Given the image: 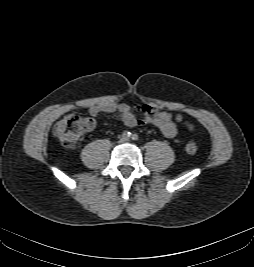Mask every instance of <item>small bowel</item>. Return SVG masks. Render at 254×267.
Returning <instances> with one entry per match:
<instances>
[{"mask_svg": "<svg viewBox=\"0 0 254 267\" xmlns=\"http://www.w3.org/2000/svg\"><path fill=\"white\" fill-rule=\"evenodd\" d=\"M136 111L141 113V119H138L133 109L125 103H100L92 105L88 109V112L92 117H96L101 113H117L128 127H134L138 124H151L157 127L168 138L176 136L177 123L182 121V116L180 114L173 115L169 112L159 111L149 105L138 106ZM187 127L190 130L193 129L192 124H187Z\"/></svg>", "mask_w": 254, "mask_h": 267, "instance_id": "c3829d8e", "label": "small bowel"}]
</instances>
